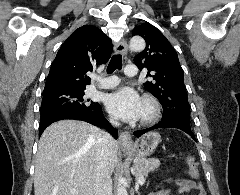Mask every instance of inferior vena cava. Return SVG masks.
<instances>
[{"mask_svg": "<svg viewBox=\"0 0 240 195\" xmlns=\"http://www.w3.org/2000/svg\"><path fill=\"white\" fill-rule=\"evenodd\" d=\"M112 125H120L116 119H110ZM97 179L95 183V195H112V179L109 175L108 167V145H113V139L107 131H101L97 141Z\"/></svg>", "mask_w": 240, "mask_h": 195, "instance_id": "602c4592", "label": "inferior vena cava"}]
</instances>
